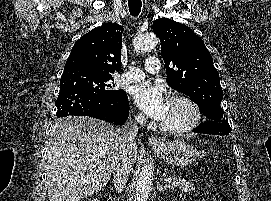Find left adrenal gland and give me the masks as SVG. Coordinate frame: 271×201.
I'll use <instances>...</instances> for the list:
<instances>
[{"instance_id":"left-adrenal-gland-1","label":"left adrenal gland","mask_w":271,"mask_h":201,"mask_svg":"<svg viewBox=\"0 0 271 201\" xmlns=\"http://www.w3.org/2000/svg\"><path fill=\"white\" fill-rule=\"evenodd\" d=\"M170 189L171 187H170V185H162V184H160V182H158L157 183V190L159 191V192H164L165 190H167V189Z\"/></svg>"}]
</instances>
